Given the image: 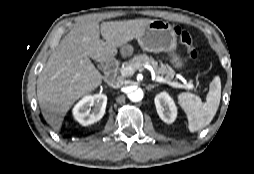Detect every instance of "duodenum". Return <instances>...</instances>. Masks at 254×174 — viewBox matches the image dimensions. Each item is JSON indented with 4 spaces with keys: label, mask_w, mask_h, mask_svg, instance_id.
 <instances>
[{
    "label": "duodenum",
    "mask_w": 254,
    "mask_h": 174,
    "mask_svg": "<svg viewBox=\"0 0 254 174\" xmlns=\"http://www.w3.org/2000/svg\"><path fill=\"white\" fill-rule=\"evenodd\" d=\"M117 62L114 58L108 59V61L105 64V79L108 82H113L116 78L117 73Z\"/></svg>",
    "instance_id": "obj_1"
}]
</instances>
